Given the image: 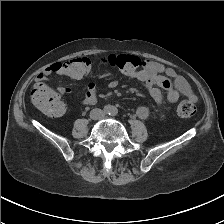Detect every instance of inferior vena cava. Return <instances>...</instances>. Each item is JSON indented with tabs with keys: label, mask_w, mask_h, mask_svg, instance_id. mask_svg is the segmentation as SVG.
<instances>
[{
	"label": "inferior vena cava",
	"mask_w": 224,
	"mask_h": 224,
	"mask_svg": "<svg viewBox=\"0 0 224 224\" xmlns=\"http://www.w3.org/2000/svg\"><path fill=\"white\" fill-rule=\"evenodd\" d=\"M105 116V113L103 112V110L99 109V108H95L93 110H91L90 112V117L92 119H101Z\"/></svg>",
	"instance_id": "602c4592"
}]
</instances>
